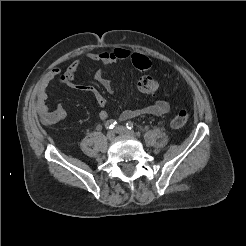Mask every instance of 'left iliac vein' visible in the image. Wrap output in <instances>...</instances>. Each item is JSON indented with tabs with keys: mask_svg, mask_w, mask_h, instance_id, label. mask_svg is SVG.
<instances>
[{
	"mask_svg": "<svg viewBox=\"0 0 246 246\" xmlns=\"http://www.w3.org/2000/svg\"><path fill=\"white\" fill-rule=\"evenodd\" d=\"M115 132L120 134V135H127V136H132V137L135 136V133L133 131H130L123 126L116 127Z\"/></svg>",
	"mask_w": 246,
	"mask_h": 246,
	"instance_id": "1",
	"label": "left iliac vein"
}]
</instances>
